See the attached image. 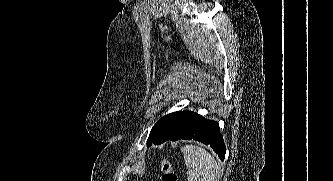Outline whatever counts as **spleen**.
I'll list each match as a JSON object with an SVG mask.
<instances>
[{
    "mask_svg": "<svg viewBox=\"0 0 333 181\" xmlns=\"http://www.w3.org/2000/svg\"><path fill=\"white\" fill-rule=\"evenodd\" d=\"M181 152L187 167L188 181H218L221 169L209 152L194 145L182 146Z\"/></svg>",
    "mask_w": 333,
    "mask_h": 181,
    "instance_id": "1",
    "label": "spleen"
}]
</instances>
